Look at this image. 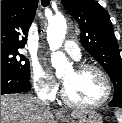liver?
Instances as JSON below:
<instances>
[{
    "label": "liver",
    "instance_id": "6515ba94",
    "mask_svg": "<svg viewBox=\"0 0 122 123\" xmlns=\"http://www.w3.org/2000/svg\"><path fill=\"white\" fill-rule=\"evenodd\" d=\"M84 111H72L71 117L78 118ZM1 123H54L49 107L30 94L1 96Z\"/></svg>",
    "mask_w": 122,
    "mask_h": 123
}]
</instances>
